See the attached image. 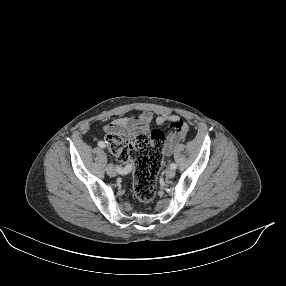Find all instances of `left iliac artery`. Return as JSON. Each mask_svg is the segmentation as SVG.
Here are the masks:
<instances>
[{
    "instance_id": "44dca946",
    "label": "left iliac artery",
    "mask_w": 286,
    "mask_h": 286,
    "mask_svg": "<svg viewBox=\"0 0 286 286\" xmlns=\"http://www.w3.org/2000/svg\"><path fill=\"white\" fill-rule=\"evenodd\" d=\"M170 168L173 169V170H175V169L177 168V165H176L175 163H171V164H170Z\"/></svg>"
}]
</instances>
